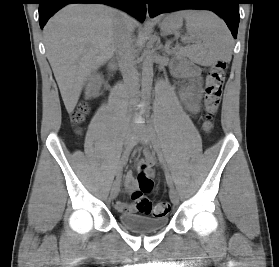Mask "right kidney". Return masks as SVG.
<instances>
[{
  "mask_svg": "<svg viewBox=\"0 0 279 267\" xmlns=\"http://www.w3.org/2000/svg\"><path fill=\"white\" fill-rule=\"evenodd\" d=\"M92 79H93V78H92ZM92 79H91V80H92ZM96 87H97V85H93L92 87H90V91L93 90V89H95Z\"/></svg>",
  "mask_w": 279,
  "mask_h": 267,
  "instance_id": "1",
  "label": "right kidney"
}]
</instances>
